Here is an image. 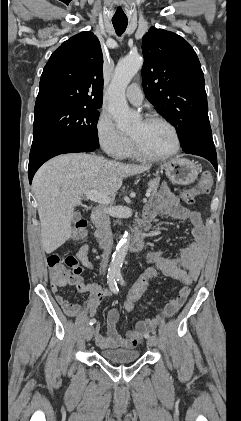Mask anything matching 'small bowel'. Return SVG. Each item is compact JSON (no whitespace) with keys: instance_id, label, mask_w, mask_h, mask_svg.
<instances>
[{"instance_id":"c3829d8e","label":"small bowel","mask_w":241,"mask_h":421,"mask_svg":"<svg viewBox=\"0 0 241 421\" xmlns=\"http://www.w3.org/2000/svg\"><path fill=\"white\" fill-rule=\"evenodd\" d=\"M159 215L189 221L192 227L193 241L181 248L176 257H167L160 251H150L144 255V260L157 266L167 277L182 283L183 287L179 290L176 298L166 304L159 317L140 320L136 323L134 330H126L123 334H120L117 330L119 311L117 308H111L106 316V335L100 332V322H97L95 328V342L101 349L136 348L144 335L151 331L162 317H172L181 309L189 296L190 286L200 274L208 241L207 229L200 213L183 206L173 192L167 186H163L145 209L146 217L153 219ZM88 252V245L81 246L76 253V259L85 268L92 271L94 266L88 258ZM68 284H73L79 292L88 294V301L85 306L71 303L58 293L59 287ZM52 290L55 293L56 301L70 317L79 316L84 312H87L90 316H95L100 303L110 295L108 290L101 288L99 285L86 283L81 274L70 282L53 284Z\"/></svg>"}]
</instances>
